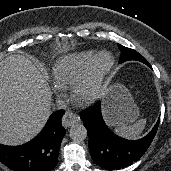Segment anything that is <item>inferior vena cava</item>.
Returning a JSON list of instances; mask_svg holds the SVG:
<instances>
[{
    "mask_svg": "<svg viewBox=\"0 0 171 171\" xmlns=\"http://www.w3.org/2000/svg\"><path fill=\"white\" fill-rule=\"evenodd\" d=\"M66 107L65 102L62 99L56 100V108L57 109H64Z\"/></svg>",
    "mask_w": 171,
    "mask_h": 171,
    "instance_id": "602c4592",
    "label": "inferior vena cava"
}]
</instances>
